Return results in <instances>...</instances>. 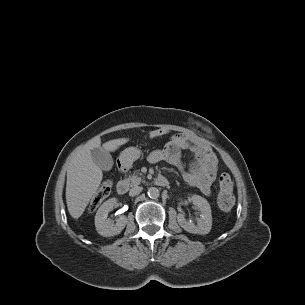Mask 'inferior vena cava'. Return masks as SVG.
Wrapping results in <instances>:
<instances>
[{
	"mask_svg": "<svg viewBox=\"0 0 305 305\" xmlns=\"http://www.w3.org/2000/svg\"><path fill=\"white\" fill-rule=\"evenodd\" d=\"M142 187L140 186H135L133 188L130 189L129 191V195L130 196H135V195H138L141 191H142Z\"/></svg>",
	"mask_w": 305,
	"mask_h": 305,
	"instance_id": "1",
	"label": "inferior vena cava"
}]
</instances>
